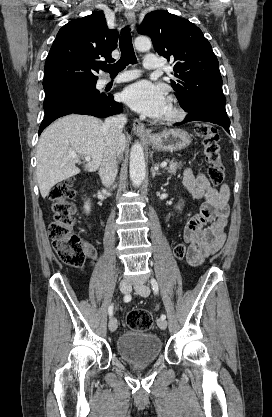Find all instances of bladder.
Instances as JSON below:
<instances>
[{"label":"bladder","instance_id":"1","mask_svg":"<svg viewBox=\"0 0 272 417\" xmlns=\"http://www.w3.org/2000/svg\"><path fill=\"white\" fill-rule=\"evenodd\" d=\"M119 356L131 364L154 362L162 352V341L151 333L128 331L117 340Z\"/></svg>","mask_w":272,"mask_h":417}]
</instances>
